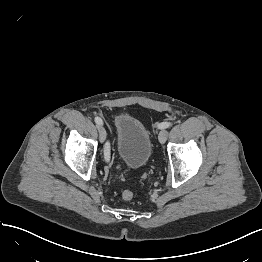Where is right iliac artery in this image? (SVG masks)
<instances>
[{"label":"right iliac artery","mask_w":262,"mask_h":262,"mask_svg":"<svg viewBox=\"0 0 262 262\" xmlns=\"http://www.w3.org/2000/svg\"><path fill=\"white\" fill-rule=\"evenodd\" d=\"M95 122L97 125H102L103 124V121L100 117H95ZM104 156H105V159L107 161L110 160V149H109V145H106L105 147V150H104Z\"/></svg>","instance_id":"82829eb1"}]
</instances>
